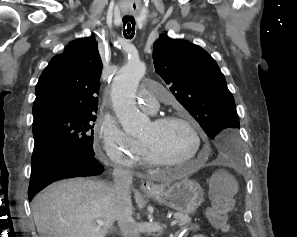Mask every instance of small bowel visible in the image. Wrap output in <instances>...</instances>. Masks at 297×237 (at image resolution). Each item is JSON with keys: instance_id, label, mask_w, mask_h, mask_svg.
I'll list each match as a JSON object with an SVG mask.
<instances>
[{"instance_id": "small-bowel-1", "label": "small bowel", "mask_w": 297, "mask_h": 237, "mask_svg": "<svg viewBox=\"0 0 297 237\" xmlns=\"http://www.w3.org/2000/svg\"><path fill=\"white\" fill-rule=\"evenodd\" d=\"M178 237H185L184 232H180V233L178 234ZM193 237H207V236L204 235V234H195ZM233 237H235V236H233Z\"/></svg>"}]
</instances>
